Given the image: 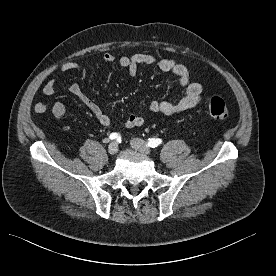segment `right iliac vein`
Masks as SVG:
<instances>
[{
	"label": "right iliac vein",
	"mask_w": 276,
	"mask_h": 276,
	"mask_svg": "<svg viewBox=\"0 0 276 276\" xmlns=\"http://www.w3.org/2000/svg\"><path fill=\"white\" fill-rule=\"evenodd\" d=\"M118 144L116 142H112L109 144L108 146V152L111 154V155H115L117 152H118Z\"/></svg>",
	"instance_id": "right-iliac-vein-1"
}]
</instances>
